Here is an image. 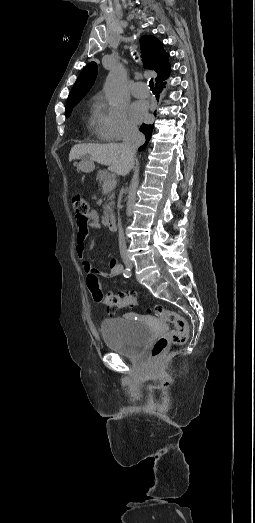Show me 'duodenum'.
Listing matches in <instances>:
<instances>
[{"label":"duodenum","instance_id":"410a0bca","mask_svg":"<svg viewBox=\"0 0 255 523\" xmlns=\"http://www.w3.org/2000/svg\"><path fill=\"white\" fill-rule=\"evenodd\" d=\"M105 224L109 230L114 231L117 227L116 218L114 215H107L105 217Z\"/></svg>","mask_w":255,"mask_h":523}]
</instances>
